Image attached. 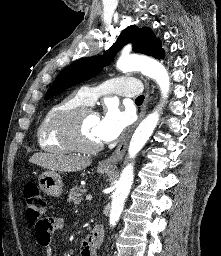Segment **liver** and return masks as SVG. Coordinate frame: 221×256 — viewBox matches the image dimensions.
I'll return each mask as SVG.
<instances>
[{"label": "liver", "mask_w": 221, "mask_h": 256, "mask_svg": "<svg viewBox=\"0 0 221 256\" xmlns=\"http://www.w3.org/2000/svg\"><path fill=\"white\" fill-rule=\"evenodd\" d=\"M29 162L50 171L76 172L91 165L92 160L74 155L56 153H35Z\"/></svg>", "instance_id": "liver-1"}]
</instances>
